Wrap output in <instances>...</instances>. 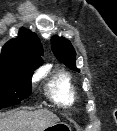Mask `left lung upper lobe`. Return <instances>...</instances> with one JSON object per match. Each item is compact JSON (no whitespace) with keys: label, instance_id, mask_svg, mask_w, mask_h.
Segmentation results:
<instances>
[{"label":"left lung upper lobe","instance_id":"obj_1","mask_svg":"<svg viewBox=\"0 0 117 131\" xmlns=\"http://www.w3.org/2000/svg\"><path fill=\"white\" fill-rule=\"evenodd\" d=\"M51 44L57 59L69 68L79 72V70L75 67L76 53L70 41L65 38L54 36L51 39Z\"/></svg>","mask_w":117,"mask_h":131}]
</instances>
